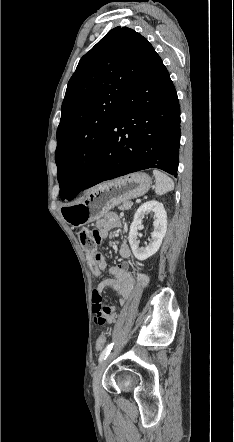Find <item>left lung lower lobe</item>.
Instances as JSON below:
<instances>
[{"instance_id": "1", "label": "left lung lower lobe", "mask_w": 234, "mask_h": 442, "mask_svg": "<svg viewBox=\"0 0 234 442\" xmlns=\"http://www.w3.org/2000/svg\"><path fill=\"white\" fill-rule=\"evenodd\" d=\"M179 146L180 107L176 90L161 58L154 52L124 95L99 157L80 191L148 168L177 177Z\"/></svg>"}]
</instances>
